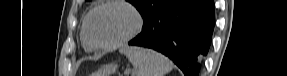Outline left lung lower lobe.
<instances>
[{
	"instance_id": "1",
	"label": "left lung lower lobe",
	"mask_w": 287,
	"mask_h": 76,
	"mask_svg": "<svg viewBox=\"0 0 287 76\" xmlns=\"http://www.w3.org/2000/svg\"><path fill=\"white\" fill-rule=\"evenodd\" d=\"M214 22L213 0H173L153 14L143 24L142 32L128 44L161 52L185 76H199Z\"/></svg>"
}]
</instances>
